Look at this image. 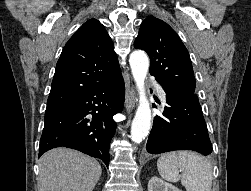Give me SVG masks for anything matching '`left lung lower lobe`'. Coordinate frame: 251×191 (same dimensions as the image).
Instances as JSON below:
<instances>
[{
    "instance_id": "0a47b994",
    "label": "left lung lower lobe",
    "mask_w": 251,
    "mask_h": 191,
    "mask_svg": "<svg viewBox=\"0 0 251 191\" xmlns=\"http://www.w3.org/2000/svg\"><path fill=\"white\" fill-rule=\"evenodd\" d=\"M165 93L167 106L164 107V117H154L146 144L147 152L159 154L173 150H193L203 155L210 154L212 144L197 95Z\"/></svg>"
}]
</instances>
